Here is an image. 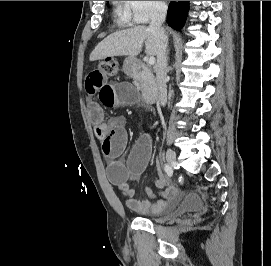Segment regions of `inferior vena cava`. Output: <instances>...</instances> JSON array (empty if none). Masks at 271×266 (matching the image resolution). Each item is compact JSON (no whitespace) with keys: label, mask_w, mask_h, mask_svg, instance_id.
Wrapping results in <instances>:
<instances>
[{"label":"inferior vena cava","mask_w":271,"mask_h":266,"mask_svg":"<svg viewBox=\"0 0 271 266\" xmlns=\"http://www.w3.org/2000/svg\"><path fill=\"white\" fill-rule=\"evenodd\" d=\"M167 13V5L157 3L152 11L151 22L149 25L150 31L154 34L157 47V64L156 77L158 84V101L161 106H165L167 102V41L168 37L162 26Z\"/></svg>","instance_id":"1"}]
</instances>
